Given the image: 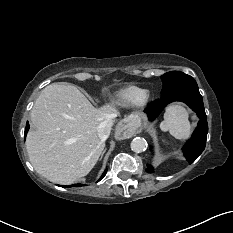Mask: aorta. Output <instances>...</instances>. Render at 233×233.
Returning <instances> with one entry per match:
<instances>
[{"label":"aorta","instance_id":"762f6f07","mask_svg":"<svg viewBox=\"0 0 233 233\" xmlns=\"http://www.w3.org/2000/svg\"><path fill=\"white\" fill-rule=\"evenodd\" d=\"M131 150L136 153H141L147 149V141L144 138L136 137L131 142Z\"/></svg>","mask_w":233,"mask_h":233}]
</instances>
